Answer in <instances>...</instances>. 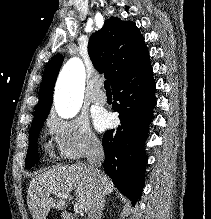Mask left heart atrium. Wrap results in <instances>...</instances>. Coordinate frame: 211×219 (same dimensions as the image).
I'll list each match as a JSON object with an SVG mask.
<instances>
[{
  "label": "left heart atrium",
  "mask_w": 211,
  "mask_h": 219,
  "mask_svg": "<svg viewBox=\"0 0 211 219\" xmlns=\"http://www.w3.org/2000/svg\"><path fill=\"white\" fill-rule=\"evenodd\" d=\"M94 123L97 129L102 130L111 123V118L106 113H99L94 118Z\"/></svg>",
  "instance_id": "1"
}]
</instances>
